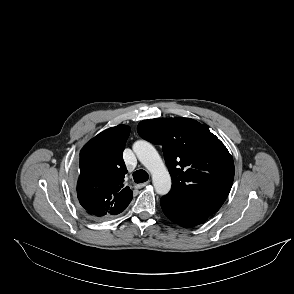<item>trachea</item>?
Wrapping results in <instances>:
<instances>
[{
    "label": "trachea",
    "instance_id": "1",
    "mask_svg": "<svg viewBox=\"0 0 294 294\" xmlns=\"http://www.w3.org/2000/svg\"><path fill=\"white\" fill-rule=\"evenodd\" d=\"M133 179L135 183H143L149 179V175L145 170H137L133 173Z\"/></svg>",
    "mask_w": 294,
    "mask_h": 294
}]
</instances>
